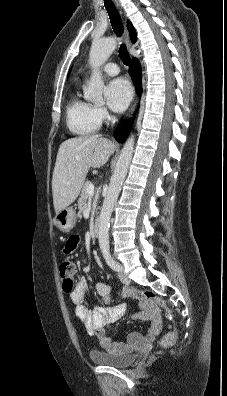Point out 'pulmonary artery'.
I'll return each mask as SVG.
<instances>
[{"mask_svg":"<svg viewBox=\"0 0 227 396\" xmlns=\"http://www.w3.org/2000/svg\"><path fill=\"white\" fill-rule=\"evenodd\" d=\"M103 71L108 75H117L119 73V67L115 63H107L103 67Z\"/></svg>","mask_w":227,"mask_h":396,"instance_id":"pulmonary-artery-1","label":"pulmonary artery"}]
</instances>
